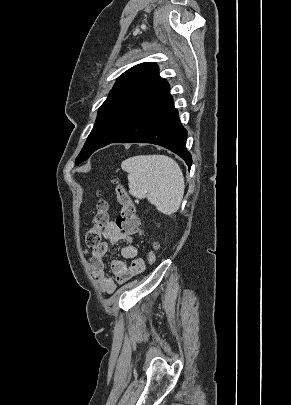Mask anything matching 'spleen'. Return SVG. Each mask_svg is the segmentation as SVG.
I'll list each match as a JSON object with an SVG mask.
<instances>
[{"instance_id": "obj_1", "label": "spleen", "mask_w": 291, "mask_h": 405, "mask_svg": "<svg viewBox=\"0 0 291 405\" xmlns=\"http://www.w3.org/2000/svg\"><path fill=\"white\" fill-rule=\"evenodd\" d=\"M128 173L129 193L147 198L166 215L175 213L184 195L185 182L177 162L165 155H138L121 164Z\"/></svg>"}]
</instances>
